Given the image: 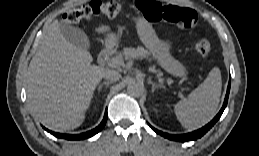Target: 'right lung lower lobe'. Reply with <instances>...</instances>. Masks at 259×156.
<instances>
[{"mask_svg": "<svg viewBox=\"0 0 259 156\" xmlns=\"http://www.w3.org/2000/svg\"><path fill=\"white\" fill-rule=\"evenodd\" d=\"M107 121V110L105 112L104 118L102 120V122L94 129L87 131L85 133H81V134H60V133H55L52 132L50 130H48V132H50L51 134H53L54 136L58 137V138H64V139H68V140H80V139H86L89 137H92L93 135L97 134L98 132H100L103 127L105 126Z\"/></svg>", "mask_w": 259, "mask_h": 156, "instance_id": "98d812e1", "label": "right lung lower lobe"}]
</instances>
